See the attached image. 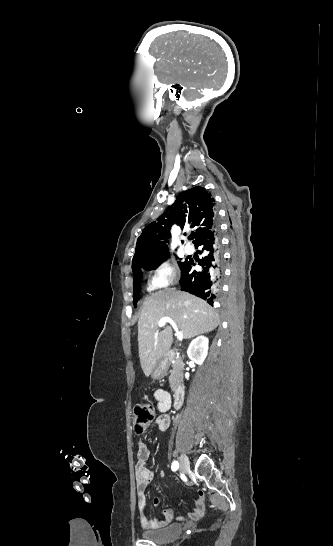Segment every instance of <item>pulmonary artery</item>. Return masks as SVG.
<instances>
[{
	"instance_id": "obj_1",
	"label": "pulmonary artery",
	"mask_w": 333,
	"mask_h": 546,
	"mask_svg": "<svg viewBox=\"0 0 333 546\" xmlns=\"http://www.w3.org/2000/svg\"><path fill=\"white\" fill-rule=\"evenodd\" d=\"M194 251H195V249H194V247H193L192 245L186 244V245L184 246V252H185L186 254H192V253H194Z\"/></svg>"
}]
</instances>
